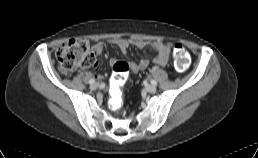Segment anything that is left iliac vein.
<instances>
[{
	"instance_id": "4c4485c4",
	"label": "left iliac vein",
	"mask_w": 258,
	"mask_h": 158,
	"mask_svg": "<svg viewBox=\"0 0 258 158\" xmlns=\"http://www.w3.org/2000/svg\"><path fill=\"white\" fill-rule=\"evenodd\" d=\"M146 90L150 93H154L157 90L156 85L150 84L146 86Z\"/></svg>"
}]
</instances>
